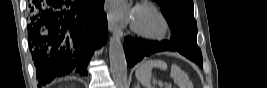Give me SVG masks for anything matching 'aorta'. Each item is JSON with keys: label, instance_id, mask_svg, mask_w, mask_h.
Here are the masks:
<instances>
[{"label": "aorta", "instance_id": "aorta-1", "mask_svg": "<svg viewBox=\"0 0 267 88\" xmlns=\"http://www.w3.org/2000/svg\"><path fill=\"white\" fill-rule=\"evenodd\" d=\"M109 59L115 86L125 88L127 85V62L120 37L117 34L110 37Z\"/></svg>", "mask_w": 267, "mask_h": 88}]
</instances>
